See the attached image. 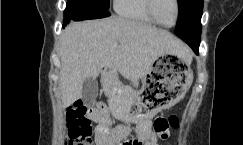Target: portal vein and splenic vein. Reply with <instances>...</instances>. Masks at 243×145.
I'll return each instance as SVG.
<instances>
[{"mask_svg": "<svg viewBox=\"0 0 243 145\" xmlns=\"http://www.w3.org/2000/svg\"><path fill=\"white\" fill-rule=\"evenodd\" d=\"M112 47H113V48L117 47V43H113V44H112Z\"/></svg>", "mask_w": 243, "mask_h": 145, "instance_id": "18ae733b", "label": "portal vein and splenic vein"}]
</instances>
